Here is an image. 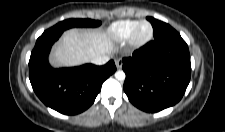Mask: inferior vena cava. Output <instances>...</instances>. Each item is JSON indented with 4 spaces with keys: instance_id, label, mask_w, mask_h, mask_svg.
<instances>
[{
    "instance_id": "inferior-vena-cava-1",
    "label": "inferior vena cava",
    "mask_w": 225,
    "mask_h": 132,
    "mask_svg": "<svg viewBox=\"0 0 225 132\" xmlns=\"http://www.w3.org/2000/svg\"><path fill=\"white\" fill-rule=\"evenodd\" d=\"M110 60L109 56H97L91 60V62L95 65H104Z\"/></svg>"
}]
</instances>
